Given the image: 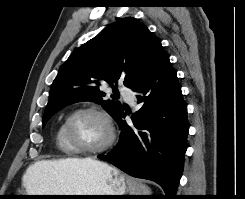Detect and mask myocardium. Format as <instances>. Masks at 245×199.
<instances>
[{
    "label": "myocardium",
    "instance_id": "1",
    "mask_svg": "<svg viewBox=\"0 0 245 199\" xmlns=\"http://www.w3.org/2000/svg\"><path fill=\"white\" fill-rule=\"evenodd\" d=\"M81 114H94L100 117L105 122L107 129H108V138L105 141V143H103L101 146L96 147V148H87V147L80 146L73 139L70 126H71L72 121ZM63 131H64V136L67 142L69 143V145L73 148V150L76 153L89 155V156L100 155L106 152L113 146L116 140V129H115L111 116L105 110L98 108V107H94V106L82 107V108H78L72 111L67 116V118L65 119L63 123Z\"/></svg>",
    "mask_w": 245,
    "mask_h": 199
}]
</instances>
